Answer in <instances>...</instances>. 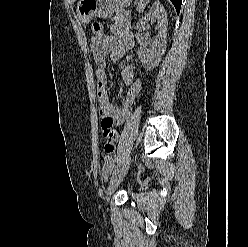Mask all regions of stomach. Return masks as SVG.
Instances as JSON below:
<instances>
[{
  "label": "stomach",
  "instance_id": "0dacf381",
  "mask_svg": "<svg viewBox=\"0 0 248 247\" xmlns=\"http://www.w3.org/2000/svg\"><path fill=\"white\" fill-rule=\"evenodd\" d=\"M131 0H79L76 8L78 18L89 23L93 17H110L118 8L129 5Z\"/></svg>",
  "mask_w": 248,
  "mask_h": 247
}]
</instances>
